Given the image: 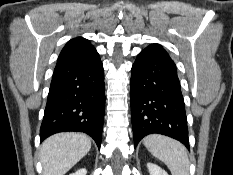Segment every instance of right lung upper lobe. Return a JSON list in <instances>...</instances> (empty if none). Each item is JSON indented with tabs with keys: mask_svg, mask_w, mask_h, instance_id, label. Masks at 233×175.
<instances>
[{
	"mask_svg": "<svg viewBox=\"0 0 233 175\" xmlns=\"http://www.w3.org/2000/svg\"><path fill=\"white\" fill-rule=\"evenodd\" d=\"M94 51L95 48L89 40L82 37L71 39L62 49L57 60V65L79 59Z\"/></svg>",
	"mask_w": 233,
	"mask_h": 175,
	"instance_id": "right-lung-upper-lobe-1",
	"label": "right lung upper lobe"
}]
</instances>
